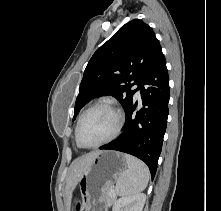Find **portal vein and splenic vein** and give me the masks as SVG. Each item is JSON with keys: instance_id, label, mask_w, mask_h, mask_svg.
I'll list each match as a JSON object with an SVG mask.
<instances>
[{"instance_id": "18ae733b", "label": "portal vein and splenic vein", "mask_w": 221, "mask_h": 211, "mask_svg": "<svg viewBox=\"0 0 221 211\" xmlns=\"http://www.w3.org/2000/svg\"><path fill=\"white\" fill-rule=\"evenodd\" d=\"M110 195L113 197L115 196V191L113 189L110 191Z\"/></svg>"}]
</instances>
